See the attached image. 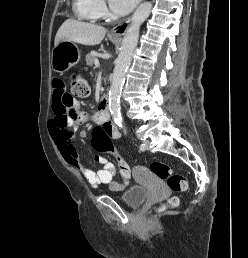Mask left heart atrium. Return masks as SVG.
Instances as JSON below:
<instances>
[{
  "label": "left heart atrium",
  "instance_id": "1",
  "mask_svg": "<svg viewBox=\"0 0 248 258\" xmlns=\"http://www.w3.org/2000/svg\"><path fill=\"white\" fill-rule=\"evenodd\" d=\"M112 10L119 15H123L131 11L139 0H109Z\"/></svg>",
  "mask_w": 248,
  "mask_h": 258
}]
</instances>
